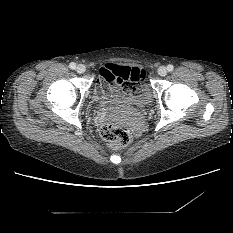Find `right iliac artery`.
I'll return each mask as SVG.
<instances>
[{
	"label": "right iliac artery",
	"mask_w": 233,
	"mask_h": 233,
	"mask_svg": "<svg viewBox=\"0 0 233 233\" xmlns=\"http://www.w3.org/2000/svg\"><path fill=\"white\" fill-rule=\"evenodd\" d=\"M69 67H70L71 69H75V68H76V64H75L74 62H71V63L69 64Z\"/></svg>",
	"instance_id": "82829eb1"
}]
</instances>
